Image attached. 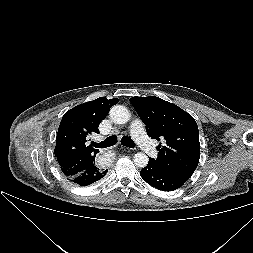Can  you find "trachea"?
Wrapping results in <instances>:
<instances>
[{"instance_id":"trachea-1","label":"trachea","mask_w":253,"mask_h":253,"mask_svg":"<svg viewBox=\"0 0 253 253\" xmlns=\"http://www.w3.org/2000/svg\"><path fill=\"white\" fill-rule=\"evenodd\" d=\"M116 143H117L116 136H109L107 139H105L104 141H101L100 143H94V147L107 148V147L115 145ZM121 143L122 145L129 148H133L135 146L134 142L128 136H123L121 139Z\"/></svg>"}]
</instances>
